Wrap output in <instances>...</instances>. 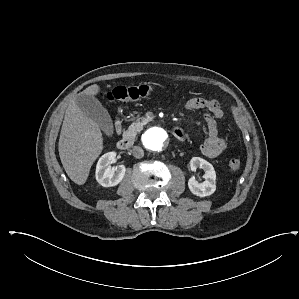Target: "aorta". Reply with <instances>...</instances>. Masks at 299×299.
<instances>
[{"mask_svg":"<svg viewBox=\"0 0 299 299\" xmlns=\"http://www.w3.org/2000/svg\"><path fill=\"white\" fill-rule=\"evenodd\" d=\"M169 141L167 132L160 127L148 129L143 136L144 146L151 151H162L166 148Z\"/></svg>","mask_w":299,"mask_h":299,"instance_id":"1","label":"aorta"}]
</instances>
